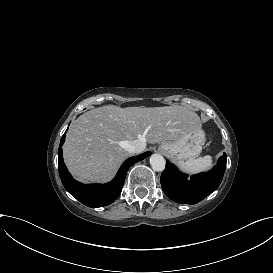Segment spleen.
Returning a JSON list of instances; mask_svg holds the SVG:
<instances>
[{"mask_svg":"<svg viewBox=\"0 0 273 273\" xmlns=\"http://www.w3.org/2000/svg\"><path fill=\"white\" fill-rule=\"evenodd\" d=\"M175 164L181 173L195 175L209 171L213 167L214 160L208 155L203 158L190 159L187 162L177 161Z\"/></svg>","mask_w":273,"mask_h":273,"instance_id":"spleen-1","label":"spleen"}]
</instances>
